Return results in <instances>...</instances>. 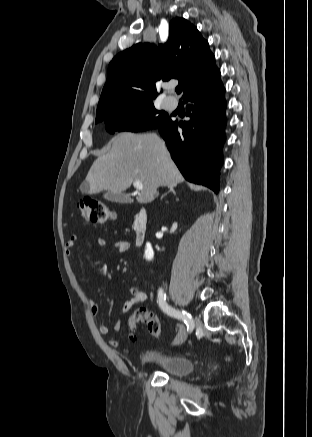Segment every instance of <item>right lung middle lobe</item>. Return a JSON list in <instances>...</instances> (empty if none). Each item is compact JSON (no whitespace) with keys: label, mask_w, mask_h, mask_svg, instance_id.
I'll return each mask as SVG.
<instances>
[{"label":"right lung middle lobe","mask_w":312,"mask_h":437,"mask_svg":"<svg viewBox=\"0 0 312 437\" xmlns=\"http://www.w3.org/2000/svg\"><path fill=\"white\" fill-rule=\"evenodd\" d=\"M100 121L106 123V130L110 133L115 131L138 132L160 128L168 124L171 118L167 113L156 110L153 102H149L122 107L105 117L96 119V123Z\"/></svg>","instance_id":"dd1d6c3e"}]
</instances>
